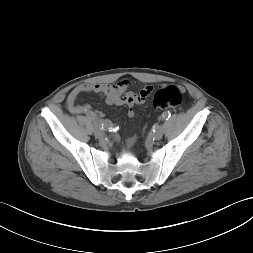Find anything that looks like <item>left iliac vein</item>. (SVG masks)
<instances>
[{
	"label": "left iliac vein",
	"instance_id": "left-iliac-vein-1",
	"mask_svg": "<svg viewBox=\"0 0 253 253\" xmlns=\"http://www.w3.org/2000/svg\"><path fill=\"white\" fill-rule=\"evenodd\" d=\"M163 127L162 126H159L156 131L153 133V138L156 139V140H160L162 139L163 137Z\"/></svg>",
	"mask_w": 253,
	"mask_h": 253
}]
</instances>
